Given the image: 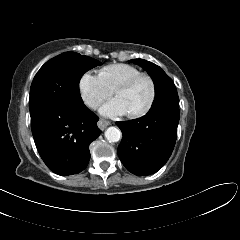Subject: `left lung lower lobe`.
I'll return each instance as SVG.
<instances>
[{
  "label": "left lung lower lobe",
  "mask_w": 240,
  "mask_h": 240,
  "mask_svg": "<svg viewBox=\"0 0 240 240\" xmlns=\"http://www.w3.org/2000/svg\"><path fill=\"white\" fill-rule=\"evenodd\" d=\"M180 118L179 107L163 105L135 120L117 122L123 133L118 156L137 176L156 173L173 151Z\"/></svg>",
  "instance_id": "0a47b994"
}]
</instances>
